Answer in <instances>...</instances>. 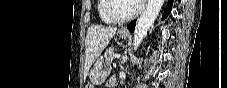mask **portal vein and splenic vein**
<instances>
[{
  "label": "portal vein and splenic vein",
  "mask_w": 227,
  "mask_h": 88,
  "mask_svg": "<svg viewBox=\"0 0 227 88\" xmlns=\"http://www.w3.org/2000/svg\"><path fill=\"white\" fill-rule=\"evenodd\" d=\"M120 57H121L120 54H115V55H114V58H116V59H118V58H120Z\"/></svg>",
  "instance_id": "obj_1"
}]
</instances>
